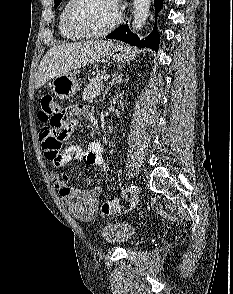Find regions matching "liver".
Listing matches in <instances>:
<instances>
[{
    "label": "liver",
    "mask_w": 233,
    "mask_h": 294,
    "mask_svg": "<svg viewBox=\"0 0 233 294\" xmlns=\"http://www.w3.org/2000/svg\"><path fill=\"white\" fill-rule=\"evenodd\" d=\"M113 46L110 41H82L53 46L40 62L35 88L56 76L84 67L104 57Z\"/></svg>",
    "instance_id": "liver-1"
}]
</instances>
